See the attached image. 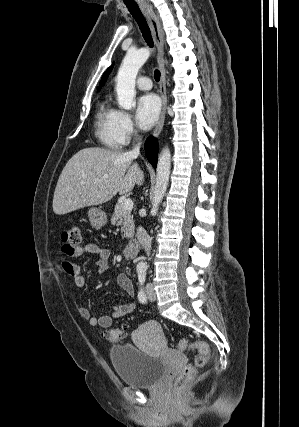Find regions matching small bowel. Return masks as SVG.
I'll list each match as a JSON object with an SVG mask.
<instances>
[{
  "instance_id": "c3829d8e",
  "label": "small bowel",
  "mask_w": 299,
  "mask_h": 427,
  "mask_svg": "<svg viewBox=\"0 0 299 427\" xmlns=\"http://www.w3.org/2000/svg\"><path fill=\"white\" fill-rule=\"evenodd\" d=\"M62 268L64 272L73 277L74 283L77 288L82 289L86 285L85 277L81 273L79 265L73 263L69 258L80 257L83 254H91L96 257L95 266L99 274H103L108 269V261L110 252L107 248L99 246L95 243H85L78 245L66 244L62 247ZM116 284L127 292L129 295H133L134 289L130 278L126 274H118L116 276ZM136 308L134 301H129L125 304L115 306L111 315H103L95 317L92 315L90 309L86 306L79 308V314L82 319L86 320L92 326H99L100 328H109L113 320L123 318L124 316L132 313Z\"/></svg>"
}]
</instances>
